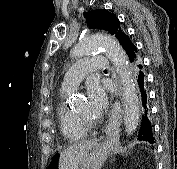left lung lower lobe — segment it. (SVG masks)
<instances>
[{
  "label": "left lung lower lobe",
  "instance_id": "0a47b994",
  "mask_svg": "<svg viewBox=\"0 0 177 169\" xmlns=\"http://www.w3.org/2000/svg\"><path fill=\"white\" fill-rule=\"evenodd\" d=\"M124 50L129 64L131 65L133 71L136 73L137 83L140 89L141 102L143 107L142 123H141V129L138 134V140L154 143L152 123L148 115L147 95L144 88L145 74H144L143 66L138 56V50L137 47L132 42L129 43Z\"/></svg>",
  "mask_w": 177,
  "mask_h": 169
}]
</instances>
